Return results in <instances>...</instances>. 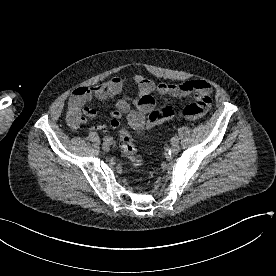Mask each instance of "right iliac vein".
Instances as JSON below:
<instances>
[{"label":"right iliac vein","instance_id":"1","mask_svg":"<svg viewBox=\"0 0 276 276\" xmlns=\"http://www.w3.org/2000/svg\"><path fill=\"white\" fill-rule=\"evenodd\" d=\"M102 148L104 151H109L110 150V144L109 142H104L102 145Z\"/></svg>","mask_w":276,"mask_h":276}]
</instances>
